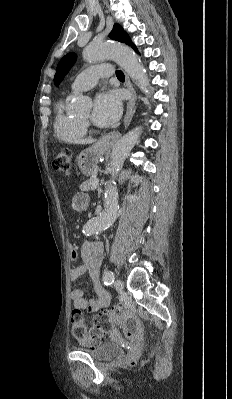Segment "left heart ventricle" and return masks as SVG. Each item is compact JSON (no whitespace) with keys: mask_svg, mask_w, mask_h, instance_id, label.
Listing matches in <instances>:
<instances>
[{"mask_svg":"<svg viewBox=\"0 0 232 399\" xmlns=\"http://www.w3.org/2000/svg\"><path fill=\"white\" fill-rule=\"evenodd\" d=\"M80 118L89 119L90 120V118H91L90 109L88 111H86Z\"/></svg>","mask_w":232,"mask_h":399,"instance_id":"1","label":"left heart ventricle"}]
</instances>
